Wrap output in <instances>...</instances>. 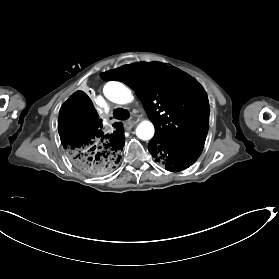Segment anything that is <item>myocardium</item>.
I'll list each match as a JSON object with an SVG mask.
<instances>
[{
    "label": "myocardium",
    "mask_w": 279,
    "mask_h": 279,
    "mask_svg": "<svg viewBox=\"0 0 279 279\" xmlns=\"http://www.w3.org/2000/svg\"><path fill=\"white\" fill-rule=\"evenodd\" d=\"M104 133H106V132H105V129H104L102 126H100V127L98 128V134L100 135V134H104Z\"/></svg>",
    "instance_id": "1"
}]
</instances>
